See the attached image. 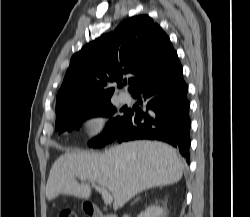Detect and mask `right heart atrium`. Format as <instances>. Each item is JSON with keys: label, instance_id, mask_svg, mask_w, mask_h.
<instances>
[{"label": "right heart atrium", "instance_id": "right-heart-atrium-1", "mask_svg": "<svg viewBox=\"0 0 250 217\" xmlns=\"http://www.w3.org/2000/svg\"><path fill=\"white\" fill-rule=\"evenodd\" d=\"M81 126L88 138H100L106 132V117L100 112H90L82 118Z\"/></svg>", "mask_w": 250, "mask_h": 217}]
</instances>
